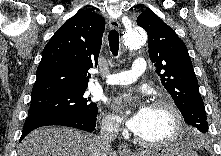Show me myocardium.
Instances as JSON below:
<instances>
[{
    "label": "myocardium",
    "instance_id": "1",
    "mask_svg": "<svg viewBox=\"0 0 221 156\" xmlns=\"http://www.w3.org/2000/svg\"><path fill=\"white\" fill-rule=\"evenodd\" d=\"M153 107L155 108H162L166 109L167 111L170 112L173 118V129L171 133L162 138V139H157V140H147L142 137H140L138 134H136V140L143 146L147 147H160L164 145H168L172 142H174L182 133L183 127H184V120L181 111L179 108L170 100L167 99H161L156 101L153 104Z\"/></svg>",
    "mask_w": 221,
    "mask_h": 156
}]
</instances>
